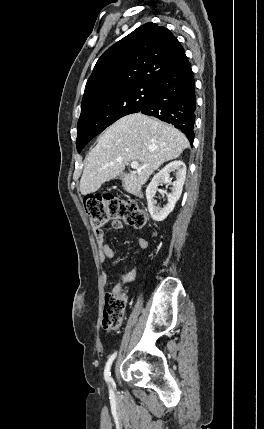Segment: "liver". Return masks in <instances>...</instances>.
<instances>
[{
    "instance_id": "1",
    "label": "liver",
    "mask_w": 264,
    "mask_h": 429,
    "mask_svg": "<svg viewBox=\"0 0 264 429\" xmlns=\"http://www.w3.org/2000/svg\"><path fill=\"white\" fill-rule=\"evenodd\" d=\"M189 147L186 136L172 125L142 113L124 116L110 125L86 158L80 180L82 195L121 176L124 189L135 194L164 162L178 158ZM130 161L145 169L124 173Z\"/></svg>"
}]
</instances>
